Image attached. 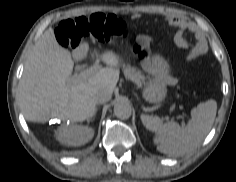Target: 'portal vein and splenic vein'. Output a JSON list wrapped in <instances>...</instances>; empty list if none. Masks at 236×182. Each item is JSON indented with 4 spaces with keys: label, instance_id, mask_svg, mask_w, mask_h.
I'll return each instance as SVG.
<instances>
[{
    "label": "portal vein and splenic vein",
    "instance_id": "1",
    "mask_svg": "<svg viewBox=\"0 0 236 182\" xmlns=\"http://www.w3.org/2000/svg\"><path fill=\"white\" fill-rule=\"evenodd\" d=\"M100 69L97 66H91L89 68H86L79 73V77L83 79H87L91 77L92 75L96 74Z\"/></svg>",
    "mask_w": 236,
    "mask_h": 182
}]
</instances>
